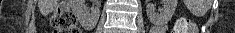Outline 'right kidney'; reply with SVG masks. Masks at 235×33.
I'll use <instances>...</instances> for the list:
<instances>
[{
    "label": "right kidney",
    "mask_w": 235,
    "mask_h": 33,
    "mask_svg": "<svg viewBox=\"0 0 235 33\" xmlns=\"http://www.w3.org/2000/svg\"><path fill=\"white\" fill-rule=\"evenodd\" d=\"M71 5L80 20L97 22L100 15L98 8L92 9L90 13V11L86 9L85 0H72Z\"/></svg>",
    "instance_id": "right-kidney-1"
}]
</instances>
